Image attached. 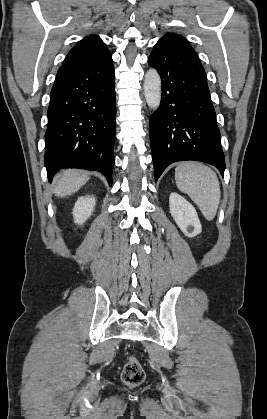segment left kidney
<instances>
[{
  "label": "left kidney",
  "mask_w": 267,
  "mask_h": 419,
  "mask_svg": "<svg viewBox=\"0 0 267 419\" xmlns=\"http://www.w3.org/2000/svg\"><path fill=\"white\" fill-rule=\"evenodd\" d=\"M170 213L180 230L187 237H195L202 231V226L194 206L176 192L169 196Z\"/></svg>",
  "instance_id": "5707ae66"
}]
</instances>
